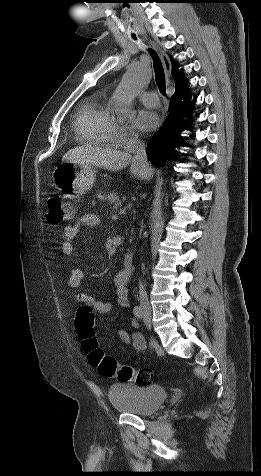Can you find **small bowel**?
<instances>
[{
	"instance_id": "1",
	"label": "small bowel",
	"mask_w": 261,
	"mask_h": 476,
	"mask_svg": "<svg viewBox=\"0 0 261 476\" xmlns=\"http://www.w3.org/2000/svg\"><path fill=\"white\" fill-rule=\"evenodd\" d=\"M99 223L100 218L96 214L86 213L80 216L73 225H69L64 229L63 241L60 245L61 251L67 256H72L74 254L72 240L76 237L79 230L84 227H96ZM83 276V271L80 268L72 269L68 278L69 287L79 289L82 285ZM127 280L128 276L124 271H120L115 276V303L121 308H128L130 306L126 287ZM76 300L83 305L92 307L94 311L102 315L108 314L113 308V302L96 300L82 292L76 294ZM131 325L136 328L138 323L132 319ZM118 336L123 342L133 345L137 351H142L145 347V340L140 333L129 332L124 328H120Z\"/></svg>"
}]
</instances>
